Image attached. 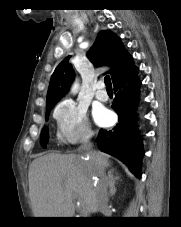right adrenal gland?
<instances>
[{"instance_id": "right-adrenal-gland-1", "label": "right adrenal gland", "mask_w": 181, "mask_h": 227, "mask_svg": "<svg viewBox=\"0 0 181 227\" xmlns=\"http://www.w3.org/2000/svg\"><path fill=\"white\" fill-rule=\"evenodd\" d=\"M113 173H114V169H112L108 172L107 180H108L109 188H110L109 197H113L115 195V193H116L115 184H116V181L120 180V177L114 176Z\"/></svg>"}]
</instances>
